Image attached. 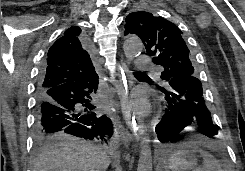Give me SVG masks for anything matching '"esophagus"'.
I'll use <instances>...</instances> for the list:
<instances>
[{
	"label": "esophagus",
	"mask_w": 245,
	"mask_h": 171,
	"mask_svg": "<svg viewBox=\"0 0 245 171\" xmlns=\"http://www.w3.org/2000/svg\"><path fill=\"white\" fill-rule=\"evenodd\" d=\"M120 71L122 75L121 83L119 85L121 112L129 129L134 133V135L141 137L145 134V126L136 113L128 107L130 90L133 85L130 71L127 65L123 62L121 63Z\"/></svg>",
	"instance_id": "1"
}]
</instances>
